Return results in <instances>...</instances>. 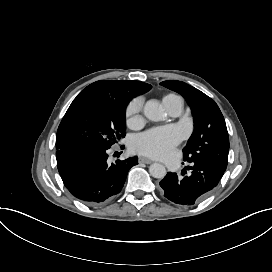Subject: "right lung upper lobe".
<instances>
[{
	"mask_svg": "<svg viewBox=\"0 0 272 272\" xmlns=\"http://www.w3.org/2000/svg\"><path fill=\"white\" fill-rule=\"evenodd\" d=\"M150 89L151 85L140 81L100 80L83 89L79 96L99 95L117 97L129 102L133 97L146 93Z\"/></svg>",
	"mask_w": 272,
	"mask_h": 272,
	"instance_id": "1",
	"label": "right lung upper lobe"
}]
</instances>
